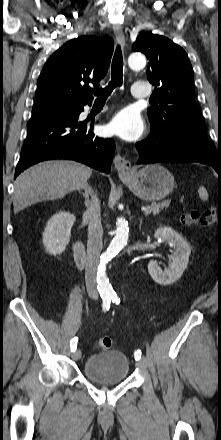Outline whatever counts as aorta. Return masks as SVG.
Here are the masks:
<instances>
[{
	"label": "aorta",
	"instance_id": "762f6f07",
	"mask_svg": "<svg viewBox=\"0 0 221 440\" xmlns=\"http://www.w3.org/2000/svg\"><path fill=\"white\" fill-rule=\"evenodd\" d=\"M128 64L132 69H142L146 65V58L140 53H132L128 58ZM116 226L117 229L115 231V236L106 252L101 256L98 267L97 280L99 289L105 292H110L112 290L111 284L106 276V264L114 254L127 244L128 241L129 228L127 221L124 218H118Z\"/></svg>",
	"mask_w": 221,
	"mask_h": 440
}]
</instances>
